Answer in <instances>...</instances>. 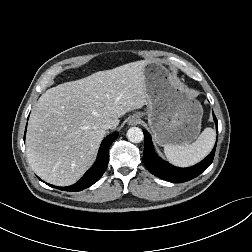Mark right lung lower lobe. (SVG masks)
<instances>
[{
	"label": "right lung lower lobe",
	"mask_w": 252,
	"mask_h": 252,
	"mask_svg": "<svg viewBox=\"0 0 252 252\" xmlns=\"http://www.w3.org/2000/svg\"><path fill=\"white\" fill-rule=\"evenodd\" d=\"M118 135L119 133L115 132L103 140L99 148L97 160L94 163L93 167L89 169L77 183L71 186H67V187H56L50 184L48 185L51 187L58 188L60 190L75 191V192L81 191L93 185L95 182H97L100 179V177L105 172L108 166V161H109V155H108L109 148L111 144L113 143V141L118 137ZM24 139H25V135H24Z\"/></svg>",
	"instance_id": "right-lung-lower-lobe-1"
}]
</instances>
